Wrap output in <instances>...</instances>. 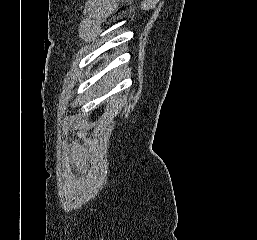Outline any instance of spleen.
<instances>
[{
  "label": "spleen",
  "instance_id": "spleen-1",
  "mask_svg": "<svg viewBox=\"0 0 257 240\" xmlns=\"http://www.w3.org/2000/svg\"><path fill=\"white\" fill-rule=\"evenodd\" d=\"M120 72L117 71L111 73L110 75H106L105 77V84L103 85L104 90H108L109 88L113 87L118 82V77Z\"/></svg>",
  "mask_w": 257,
  "mask_h": 240
}]
</instances>
